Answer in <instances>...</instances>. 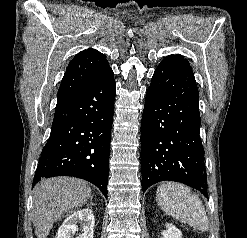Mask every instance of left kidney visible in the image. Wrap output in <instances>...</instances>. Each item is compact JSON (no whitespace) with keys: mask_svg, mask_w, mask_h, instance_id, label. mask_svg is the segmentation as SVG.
<instances>
[{"mask_svg":"<svg viewBox=\"0 0 247 238\" xmlns=\"http://www.w3.org/2000/svg\"><path fill=\"white\" fill-rule=\"evenodd\" d=\"M162 238H182V233L175 226L167 224L166 230L162 232Z\"/></svg>","mask_w":247,"mask_h":238,"instance_id":"5707ae66","label":"left kidney"}]
</instances>
